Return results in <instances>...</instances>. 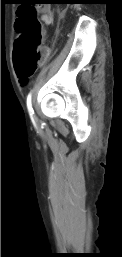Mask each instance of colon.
I'll list each match as a JSON object with an SVG mask.
<instances>
[{
	"label": "colon",
	"mask_w": 122,
	"mask_h": 257,
	"mask_svg": "<svg viewBox=\"0 0 122 257\" xmlns=\"http://www.w3.org/2000/svg\"><path fill=\"white\" fill-rule=\"evenodd\" d=\"M15 29L18 33L14 43V63L20 77H29L41 62L42 28L33 10L37 5H18Z\"/></svg>",
	"instance_id": "colon-1"
}]
</instances>
